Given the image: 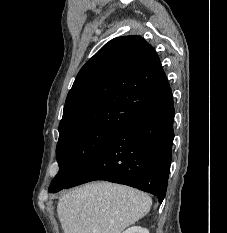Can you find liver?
<instances>
[{
	"label": "liver",
	"mask_w": 227,
	"mask_h": 233,
	"mask_svg": "<svg viewBox=\"0 0 227 233\" xmlns=\"http://www.w3.org/2000/svg\"><path fill=\"white\" fill-rule=\"evenodd\" d=\"M144 192L110 182H95L65 193L57 213L64 233H122L150 211Z\"/></svg>",
	"instance_id": "1"
}]
</instances>
